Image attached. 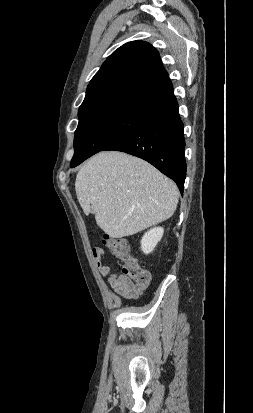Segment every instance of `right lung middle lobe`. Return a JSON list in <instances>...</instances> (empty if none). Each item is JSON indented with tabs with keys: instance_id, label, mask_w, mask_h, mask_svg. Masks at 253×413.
Instances as JSON below:
<instances>
[{
	"instance_id": "dd1d6c3e",
	"label": "right lung middle lobe",
	"mask_w": 253,
	"mask_h": 413,
	"mask_svg": "<svg viewBox=\"0 0 253 413\" xmlns=\"http://www.w3.org/2000/svg\"><path fill=\"white\" fill-rule=\"evenodd\" d=\"M146 118L133 112L112 111L79 120L70 167H76L90 156L103 151L136 129Z\"/></svg>"
}]
</instances>
